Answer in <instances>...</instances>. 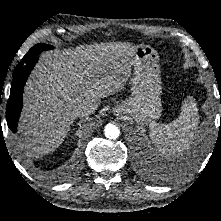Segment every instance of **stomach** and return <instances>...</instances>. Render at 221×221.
Masks as SVG:
<instances>
[{
    "label": "stomach",
    "mask_w": 221,
    "mask_h": 221,
    "mask_svg": "<svg viewBox=\"0 0 221 221\" xmlns=\"http://www.w3.org/2000/svg\"><path fill=\"white\" fill-rule=\"evenodd\" d=\"M133 69L131 95L114 108V113L128 114L136 122L146 124L158 119L162 112V82L157 52L149 45H138Z\"/></svg>",
    "instance_id": "stomach-1"
}]
</instances>
